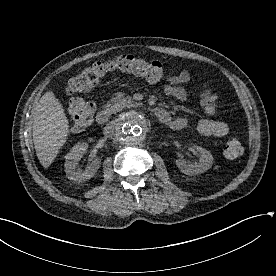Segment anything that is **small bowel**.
Here are the masks:
<instances>
[{
    "label": "small bowel",
    "instance_id": "c3829d8e",
    "mask_svg": "<svg viewBox=\"0 0 276 276\" xmlns=\"http://www.w3.org/2000/svg\"><path fill=\"white\" fill-rule=\"evenodd\" d=\"M189 80L190 75L187 71H181L178 74L171 75L165 80L164 92L180 101H186L189 98V92L183 87V84L187 83ZM203 110L208 116H213L216 113V109H210L204 105ZM168 116L169 118L164 124L173 130H181L193 125L201 135L217 138L224 137L229 132L228 125L223 121L203 118L192 123L186 118L172 117L169 113Z\"/></svg>",
    "mask_w": 276,
    "mask_h": 276
}]
</instances>
